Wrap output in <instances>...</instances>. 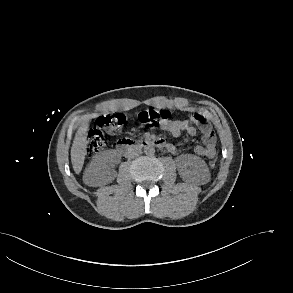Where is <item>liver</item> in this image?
I'll return each mask as SVG.
<instances>
[{
    "label": "liver",
    "mask_w": 293,
    "mask_h": 293,
    "mask_svg": "<svg viewBox=\"0 0 293 293\" xmlns=\"http://www.w3.org/2000/svg\"><path fill=\"white\" fill-rule=\"evenodd\" d=\"M87 123L81 125L74 137L71 147V162L76 174H79L82 170L87 146Z\"/></svg>",
    "instance_id": "6515ba94"
}]
</instances>
